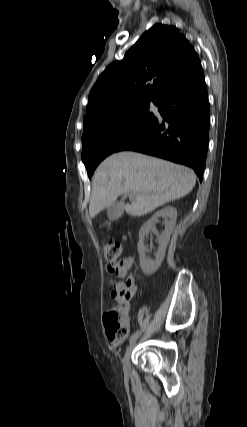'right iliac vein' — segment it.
<instances>
[{
	"label": "right iliac vein",
	"instance_id": "63e3f726",
	"mask_svg": "<svg viewBox=\"0 0 247 427\" xmlns=\"http://www.w3.org/2000/svg\"><path fill=\"white\" fill-rule=\"evenodd\" d=\"M137 338L130 342L129 346L127 347V350L125 352L124 358H123V370L125 372H128L130 369V357L131 353L136 345Z\"/></svg>",
	"mask_w": 247,
	"mask_h": 427
}]
</instances>
